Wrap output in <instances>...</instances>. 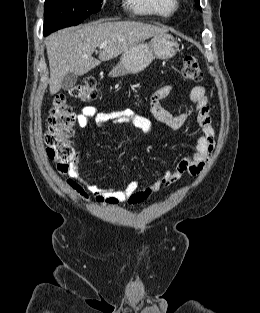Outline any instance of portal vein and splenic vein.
Wrapping results in <instances>:
<instances>
[{"label":"portal vein and splenic vein","instance_id":"1","mask_svg":"<svg viewBox=\"0 0 260 313\" xmlns=\"http://www.w3.org/2000/svg\"><path fill=\"white\" fill-rule=\"evenodd\" d=\"M103 47H105V44H101V45L99 46L100 49H102Z\"/></svg>","mask_w":260,"mask_h":313}]
</instances>
